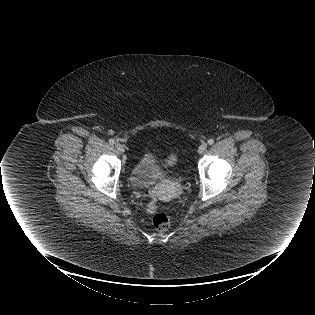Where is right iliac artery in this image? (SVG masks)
Wrapping results in <instances>:
<instances>
[{
	"label": "right iliac artery",
	"mask_w": 315,
	"mask_h": 315,
	"mask_svg": "<svg viewBox=\"0 0 315 315\" xmlns=\"http://www.w3.org/2000/svg\"><path fill=\"white\" fill-rule=\"evenodd\" d=\"M109 143L112 144V145L115 144L114 139H110V140H109Z\"/></svg>",
	"instance_id": "1"
}]
</instances>
